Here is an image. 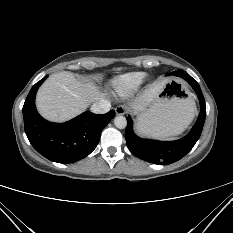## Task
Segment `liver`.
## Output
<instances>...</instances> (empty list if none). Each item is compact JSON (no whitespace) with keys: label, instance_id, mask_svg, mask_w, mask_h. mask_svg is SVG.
<instances>
[{"label":"liver","instance_id":"6515ba94","mask_svg":"<svg viewBox=\"0 0 233 233\" xmlns=\"http://www.w3.org/2000/svg\"><path fill=\"white\" fill-rule=\"evenodd\" d=\"M167 80L158 81L137 96L131 107L135 113L145 109L163 89ZM107 95L89 81L77 79L73 73L52 74L40 87L36 96L39 113L47 120L64 122L83 113L90 103Z\"/></svg>","mask_w":233,"mask_h":233}]
</instances>
